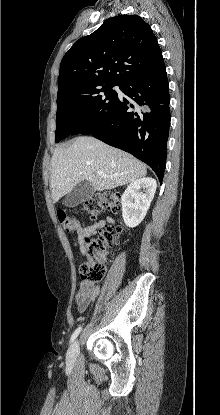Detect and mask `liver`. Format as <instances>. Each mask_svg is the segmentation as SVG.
<instances>
[{
	"instance_id": "1",
	"label": "liver",
	"mask_w": 220,
	"mask_h": 415,
	"mask_svg": "<svg viewBox=\"0 0 220 415\" xmlns=\"http://www.w3.org/2000/svg\"><path fill=\"white\" fill-rule=\"evenodd\" d=\"M104 172L106 177L97 174ZM146 166L129 153L94 137H78L68 147L55 149L51 160L50 187L56 203L80 182L87 180L101 192L145 177Z\"/></svg>"
}]
</instances>
